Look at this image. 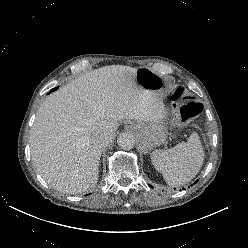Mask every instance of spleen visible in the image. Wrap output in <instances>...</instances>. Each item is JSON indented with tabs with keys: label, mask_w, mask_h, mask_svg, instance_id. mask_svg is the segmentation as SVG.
I'll use <instances>...</instances> for the list:
<instances>
[{
	"label": "spleen",
	"mask_w": 248,
	"mask_h": 248,
	"mask_svg": "<svg viewBox=\"0 0 248 248\" xmlns=\"http://www.w3.org/2000/svg\"><path fill=\"white\" fill-rule=\"evenodd\" d=\"M151 161L170 186H180L192 180L204 161V150L198 134L193 133L187 142L167 150H155Z\"/></svg>",
	"instance_id": "spleen-1"
}]
</instances>
